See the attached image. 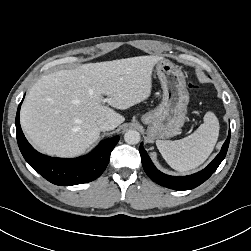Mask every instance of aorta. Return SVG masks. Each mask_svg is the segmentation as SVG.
<instances>
[{
    "label": "aorta",
    "instance_id": "1",
    "mask_svg": "<svg viewBox=\"0 0 251 251\" xmlns=\"http://www.w3.org/2000/svg\"><path fill=\"white\" fill-rule=\"evenodd\" d=\"M124 140L128 144H137L140 141V134L136 130H128L124 134Z\"/></svg>",
    "mask_w": 251,
    "mask_h": 251
}]
</instances>
